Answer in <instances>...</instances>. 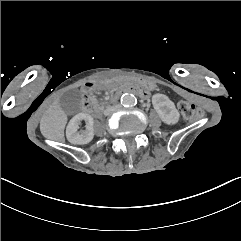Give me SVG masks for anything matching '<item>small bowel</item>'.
I'll use <instances>...</instances> for the list:
<instances>
[{"mask_svg": "<svg viewBox=\"0 0 241 241\" xmlns=\"http://www.w3.org/2000/svg\"><path fill=\"white\" fill-rule=\"evenodd\" d=\"M104 82L107 84L109 81L106 79ZM101 84H102V83H101ZM87 103H88V104H87L88 107H87L86 109L89 111V110L91 109L90 106L92 105V104H91L92 102L89 100Z\"/></svg>", "mask_w": 241, "mask_h": 241, "instance_id": "small-bowel-1", "label": "small bowel"}]
</instances>
